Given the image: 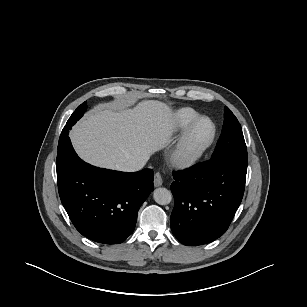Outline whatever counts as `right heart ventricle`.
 <instances>
[{
    "label": "right heart ventricle",
    "instance_id": "1",
    "mask_svg": "<svg viewBox=\"0 0 307 307\" xmlns=\"http://www.w3.org/2000/svg\"><path fill=\"white\" fill-rule=\"evenodd\" d=\"M200 115L191 108H182L176 111L172 117L173 129L176 132L184 131Z\"/></svg>",
    "mask_w": 307,
    "mask_h": 307
}]
</instances>
